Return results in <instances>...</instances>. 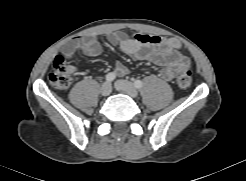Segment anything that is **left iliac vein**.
<instances>
[{"mask_svg":"<svg viewBox=\"0 0 246 181\" xmlns=\"http://www.w3.org/2000/svg\"><path fill=\"white\" fill-rule=\"evenodd\" d=\"M115 88L121 92L126 93L131 98H136L138 95V91L135 86L127 80H117L115 82Z\"/></svg>","mask_w":246,"mask_h":181,"instance_id":"4c4485c4","label":"left iliac vein"}]
</instances>
